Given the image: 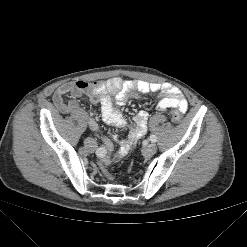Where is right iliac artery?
Returning <instances> with one entry per match:
<instances>
[{"label": "right iliac artery", "mask_w": 247, "mask_h": 247, "mask_svg": "<svg viewBox=\"0 0 247 247\" xmlns=\"http://www.w3.org/2000/svg\"><path fill=\"white\" fill-rule=\"evenodd\" d=\"M96 156L99 159H104L107 156V150H106V148L103 147V146L98 147L97 150H96Z\"/></svg>", "instance_id": "82829eb1"}]
</instances>
